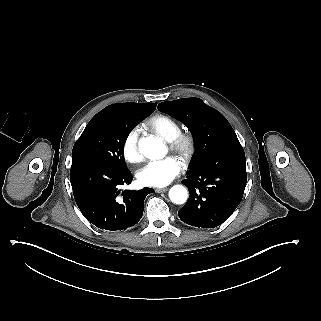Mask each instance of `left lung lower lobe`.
I'll list each match as a JSON object with an SVG mask.
<instances>
[{"instance_id": "left-lung-lower-lobe-1", "label": "left lung lower lobe", "mask_w": 321, "mask_h": 321, "mask_svg": "<svg viewBox=\"0 0 321 321\" xmlns=\"http://www.w3.org/2000/svg\"><path fill=\"white\" fill-rule=\"evenodd\" d=\"M246 158L240 147L228 148L210 156L188 172L182 183L189 189V200L178 211L186 224L214 228L237 208L246 186Z\"/></svg>"}]
</instances>
